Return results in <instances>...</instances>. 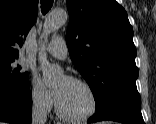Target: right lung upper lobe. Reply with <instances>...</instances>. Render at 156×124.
<instances>
[{"instance_id":"obj_1","label":"right lung upper lobe","mask_w":156,"mask_h":124,"mask_svg":"<svg viewBox=\"0 0 156 124\" xmlns=\"http://www.w3.org/2000/svg\"><path fill=\"white\" fill-rule=\"evenodd\" d=\"M37 14L38 0H0V61L18 58Z\"/></svg>"}]
</instances>
